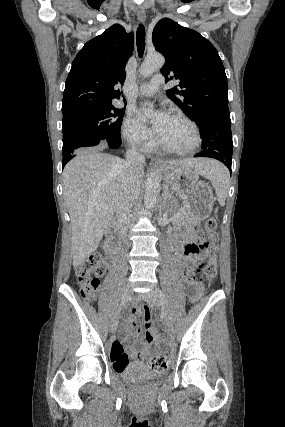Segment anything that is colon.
I'll use <instances>...</instances> for the list:
<instances>
[{
	"label": "colon",
	"instance_id": "5ec220e1",
	"mask_svg": "<svg viewBox=\"0 0 285 427\" xmlns=\"http://www.w3.org/2000/svg\"><path fill=\"white\" fill-rule=\"evenodd\" d=\"M216 231L217 221L210 218L202 228H194L189 233L192 241L185 246V253L189 259L190 267L185 271V279L191 299H196L200 295L202 284L200 275L202 273H205L209 278L216 276L217 268L214 259H211L207 264L197 259V255L202 251H206L211 257L216 256L217 247L212 240H208ZM75 272L81 296L86 300L93 299L105 272L103 260L99 257L84 259L76 264ZM149 366L152 370L166 369L169 366V359L166 355H157L149 360Z\"/></svg>",
	"mask_w": 285,
	"mask_h": 427
}]
</instances>
